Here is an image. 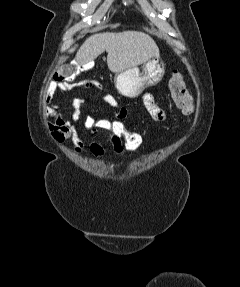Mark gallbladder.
<instances>
[{
  "mask_svg": "<svg viewBox=\"0 0 240 287\" xmlns=\"http://www.w3.org/2000/svg\"><path fill=\"white\" fill-rule=\"evenodd\" d=\"M64 73H65V74L75 75V74H76V70H75L74 68H72L71 70H70V69L68 70V69L66 68V69L64 70Z\"/></svg>",
  "mask_w": 240,
  "mask_h": 287,
  "instance_id": "bac80fb5",
  "label": "gallbladder"
}]
</instances>
